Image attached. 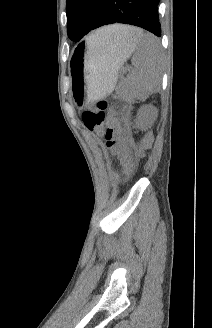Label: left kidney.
I'll return each mask as SVG.
<instances>
[{
	"label": "left kidney",
	"mask_w": 212,
	"mask_h": 328,
	"mask_svg": "<svg viewBox=\"0 0 212 328\" xmlns=\"http://www.w3.org/2000/svg\"><path fill=\"white\" fill-rule=\"evenodd\" d=\"M156 117L157 110L153 106H143L138 111L136 125L141 129H147L149 126L152 125Z\"/></svg>",
	"instance_id": "left-kidney-1"
}]
</instances>
